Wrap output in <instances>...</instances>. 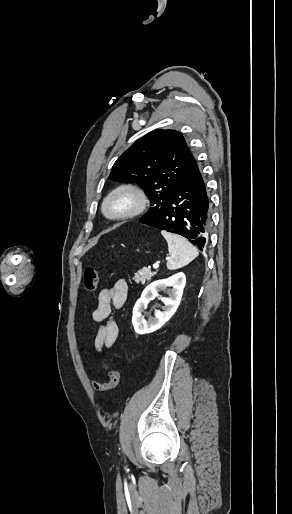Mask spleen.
<instances>
[{
	"instance_id": "3e777b00",
	"label": "spleen",
	"mask_w": 292,
	"mask_h": 514,
	"mask_svg": "<svg viewBox=\"0 0 292 514\" xmlns=\"http://www.w3.org/2000/svg\"><path fill=\"white\" fill-rule=\"evenodd\" d=\"M168 244L169 260L167 262L168 270H178L190 264L194 258L199 256V252L195 246H192L188 240L177 236V234H170V232H161Z\"/></svg>"
}]
</instances>
